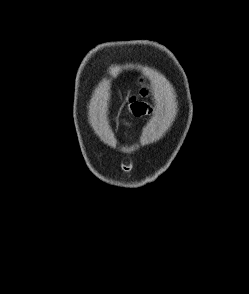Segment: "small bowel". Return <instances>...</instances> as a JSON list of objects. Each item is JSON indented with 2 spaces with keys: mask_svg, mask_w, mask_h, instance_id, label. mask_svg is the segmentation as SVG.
<instances>
[{
  "mask_svg": "<svg viewBox=\"0 0 249 294\" xmlns=\"http://www.w3.org/2000/svg\"><path fill=\"white\" fill-rule=\"evenodd\" d=\"M147 109H148V107H147L146 104L136 103V104H132L130 106V113L133 116L138 117V116H141V115L145 114L147 112ZM118 119H119V121H121V123H123L122 122V114H118ZM125 125L128 126V127L132 126V124L129 123V122H126Z\"/></svg>",
  "mask_w": 249,
  "mask_h": 294,
  "instance_id": "small-bowel-1",
  "label": "small bowel"
}]
</instances>
